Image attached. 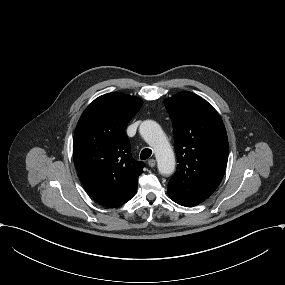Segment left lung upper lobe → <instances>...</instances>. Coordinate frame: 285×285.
Masks as SVG:
<instances>
[{"mask_svg":"<svg viewBox=\"0 0 285 285\" xmlns=\"http://www.w3.org/2000/svg\"><path fill=\"white\" fill-rule=\"evenodd\" d=\"M164 103L179 162L168 189L200 203L214 193L226 169L229 146L224 124L213 106L192 92L177 93Z\"/></svg>","mask_w":285,"mask_h":285,"instance_id":"1","label":"left lung upper lobe"}]
</instances>
